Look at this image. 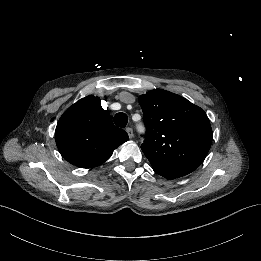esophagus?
<instances>
[{"instance_id":"obj_1","label":"esophagus","mask_w":261,"mask_h":261,"mask_svg":"<svg viewBox=\"0 0 261 261\" xmlns=\"http://www.w3.org/2000/svg\"><path fill=\"white\" fill-rule=\"evenodd\" d=\"M125 130H126L128 136H129V138L130 139L133 138V129L130 128V127H127Z\"/></svg>"}]
</instances>
